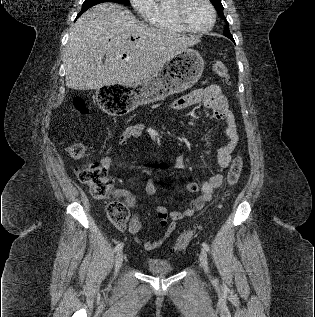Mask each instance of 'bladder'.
Wrapping results in <instances>:
<instances>
[{"label":"bladder","mask_w":315,"mask_h":317,"mask_svg":"<svg viewBox=\"0 0 315 317\" xmlns=\"http://www.w3.org/2000/svg\"><path fill=\"white\" fill-rule=\"evenodd\" d=\"M146 268L150 273L156 275H168L174 270L171 262L156 258L148 259L146 262Z\"/></svg>","instance_id":"obj_1"}]
</instances>
